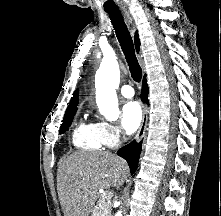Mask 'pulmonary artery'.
Segmentation results:
<instances>
[{
  "label": "pulmonary artery",
  "instance_id": "pulmonary-artery-1",
  "mask_svg": "<svg viewBox=\"0 0 221 216\" xmlns=\"http://www.w3.org/2000/svg\"><path fill=\"white\" fill-rule=\"evenodd\" d=\"M121 94L126 98H132L134 96V89L131 85H123L120 89Z\"/></svg>",
  "mask_w": 221,
  "mask_h": 216
}]
</instances>
